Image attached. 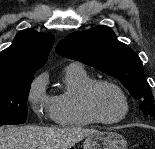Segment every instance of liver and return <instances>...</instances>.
<instances>
[{
  "label": "liver",
  "mask_w": 155,
  "mask_h": 149,
  "mask_svg": "<svg viewBox=\"0 0 155 149\" xmlns=\"http://www.w3.org/2000/svg\"><path fill=\"white\" fill-rule=\"evenodd\" d=\"M95 132L82 127L10 126L0 128V149H70Z\"/></svg>",
  "instance_id": "liver-1"
}]
</instances>
